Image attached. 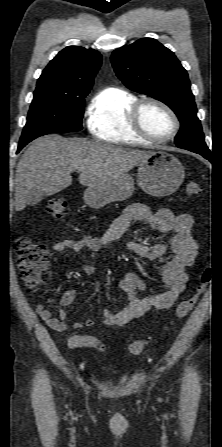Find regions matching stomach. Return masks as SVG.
I'll return each instance as SVG.
<instances>
[{
  "mask_svg": "<svg viewBox=\"0 0 222 447\" xmlns=\"http://www.w3.org/2000/svg\"><path fill=\"white\" fill-rule=\"evenodd\" d=\"M185 172L180 161L173 155L158 151L139 163L138 184L141 189L155 197L174 193L182 184ZM135 190L131 175L123 174L99 186H89L84 192V201L92 208H101L109 202L128 199Z\"/></svg>",
  "mask_w": 222,
  "mask_h": 447,
  "instance_id": "obj_1",
  "label": "stomach"
}]
</instances>
